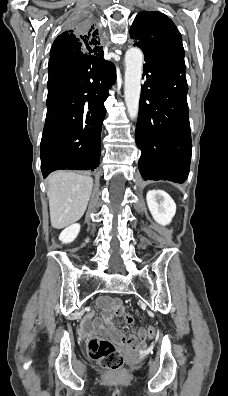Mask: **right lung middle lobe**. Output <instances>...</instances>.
I'll return each instance as SVG.
<instances>
[{
	"mask_svg": "<svg viewBox=\"0 0 228 396\" xmlns=\"http://www.w3.org/2000/svg\"><path fill=\"white\" fill-rule=\"evenodd\" d=\"M80 24H86L85 21L80 22ZM57 72L56 71H49V78L53 77L54 75H56Z\"/></svg>",
	"mask_w": 228,
	"mask_h": 396,
	"instance_id": "right-lung-middle-lobe-1",
	"label": "right lung middle lobe"
}]
</instances>
